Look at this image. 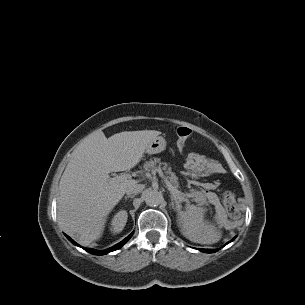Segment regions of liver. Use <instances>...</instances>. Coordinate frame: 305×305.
Returning a JSON list of instances; mask_svg holds the SVG:
<instances>
[{"label": "liver", "mask_w": 305, "mask_h": 305, "mask_svg": "<svg viewBox=\"0 0 305 305\" xmlns=\"http://www.w3.org/2000/svg\"><path fill=\"white\" fill-rule=\"evenodd\" d=\"M160 134L155 130L124 131L106 138L97 131L88 135L72 153L59 183L57 215L65 232L88 245L103 233L106 218L137 183L111 182L110 172L135 167L147 145Z\"/></svg>", "instance_id": "liver-1"}]
</instances>
